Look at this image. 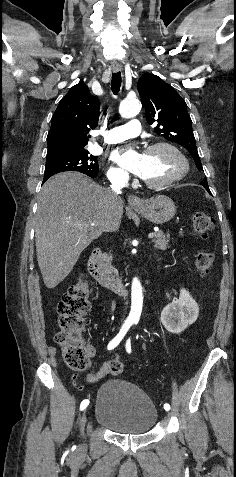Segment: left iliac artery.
Wrapping results in <instances>:
<instances>
[{"label":"left iliac artery","instance_id":"44dca946","mask_svg":"<svg viewBox=\"0 0 236 477\" xmlns=\"http://www.w3.org/2000/svg\"><path fill=\"white\" fill-rule=\"evenodd\" d=\"M126 351L128 353H131V340H130V338L126 341ZM164 409L170 410V405L168 403H165L164 404Z\"/></svg>","mask_w":236,"mask_h":477}]
</instances>
